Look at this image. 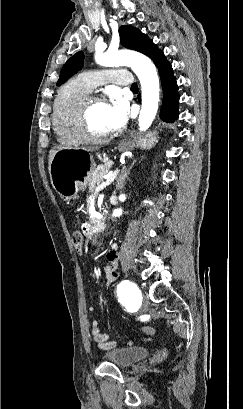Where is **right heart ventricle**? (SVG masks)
I'll use <instances>...</instances> for the list:
<instances>
[{
  "instance_id": "obj_1",
  "label": "right heart ventricle",
  "mask_w": 243,
  "mask_h": 409,
  "mask_svg": "<svg viewBox=\"0 0 243 409\" xmlns=\"http://www.w3.org/2000/svg\"><path fill=\"white\" fill-rule=\"evenodd\" d=\"M91 92L80 77L67 81L58 91L52 110V126L60 143L76 146L84 142L75 118L79 100Z\"/></svg>"
}]
</instances>
